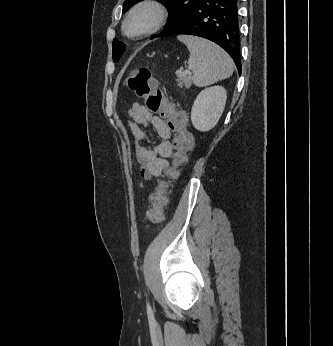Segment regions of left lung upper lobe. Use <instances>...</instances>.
Instances as JSON below:
<instances>
[{
	"label": "left lung upper lobe",
	"instance_id": "1",
	"mask_svg": "<svg viewBox=\"0 0 333 346\" xmlns=\"http://www.w3.org/2000/svg\"><path fill=\"white\" fill-rule=\"evenodd\" d=\"M139 1H142V0H125L123 4V13H125L130 7H132L134 4H136ZM160 1L166 4V7L168 8V11H169L168 25L162 31L164 32L165 30L169 29L170 27L177 24L180 20H182L186 16L188 9L191 7V5L194 4L196 0H160ZM154 37L156 36H153V38ZM112 48H113V60L117 62L122 56L125 50V46L121 42L114 39L112 43Z\"/></svg>",
	"mask_w": 333,
	"mask_h": 346
}]
</instances>
